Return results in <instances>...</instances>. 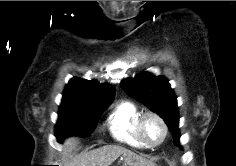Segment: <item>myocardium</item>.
Instances as JSON below:
<instances>
[{"label":"myocardium","instance_id":"f54148a6","mask_svg":"<svg viewBox=\"0 0 236 166\" xmlns=\"http://www.w3.org/2000/svg\"><path fill=\"white\" fill-rule=\"evenodd\" d=\"M148 117H153L155 118L162 126V129H163V136L162 138L160 139V141H158L157 143H150L145 135H144V132H143V126H144V122L145 120L148 118ZM136 129H137V134H138V137L140 138V140L142 141V143L148 147V148H155L159 145H161L167 138L168 136V126H167V123L166 121L164 120V118L157 112L155 111H145L143 112L138 121H137V126H136Z\"/></svg>","mask_w":236,"mask_h":166}]
</instances>
